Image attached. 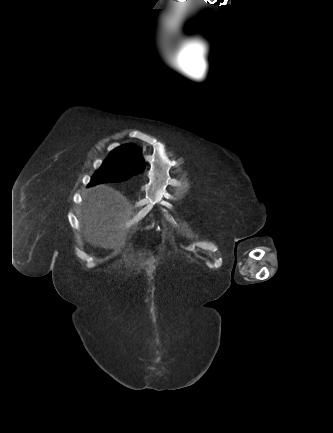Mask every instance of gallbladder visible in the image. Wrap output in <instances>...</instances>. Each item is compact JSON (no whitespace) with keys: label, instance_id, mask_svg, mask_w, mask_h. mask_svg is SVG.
<instances>
[{"label":"gallbladder","instance_id":"bac80fb5","mask_svg":"<svg viewBox=\"0 0 333 433\" xmlns=\"http://www.w3.org/2000/svg\"><path fill=\"white\" fill-rule=\"evenodd\" d=\"M187 15H188L189 18H191V15L189 14V12H187Z\"/></svg>","mask_w":333,"mask_h":433}]
</instances>
